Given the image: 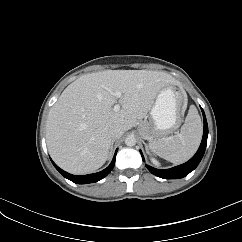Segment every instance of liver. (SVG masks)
<instances>
[{
    "mask_svg": "<svg viewBox=\"0 0 242 242\" xmlns=\"http://www.w3.org/2000/svg\"><path fill=\"white\" fill-rule=\"evenodd\" d=\"M179 81L161 71L105 70L83 75L62 92L50 109L46 142L55 163L72 174H86L106 161L109 130L128 131L146 117L160 90ZM121 92L117 98L114 93ZM121 109L113 110L115 103Z\"/></svg>",
    "mask_w": 242,
    "mask_h": 242,
    "instance_id": "obj_1",
    "label": "liver"
}]
</instances>
